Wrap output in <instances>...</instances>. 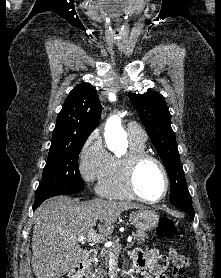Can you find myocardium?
I'll use <instances>...</instances> for the list:
<instances>
[{"mask_svg": "<svg viewBox=\"0 0 221 278\" xmlns=\"http://www.w3.org/2000/svg\"><path fill=\"white\" fill-rule=\"evenodd\" d=\"M146 161H153L154 163H156L157 166L160 168L164 177V190L161 196L158 197L157 199H148L144 197L140 193L136 185L137 170L139 166ZM120 164H121V173H122V179L124 185L133 198L138 199L145 203L154 204V203L161 202L167 196L170 187L169 174L165 165L158 157L146 151H141V152L129 151L125 155L120 157Z\"/></svg>", "mask_w": 221, "mask_h": 278, "instance_id": "f54148a6", "label": "myocardium"}]
</instances>
